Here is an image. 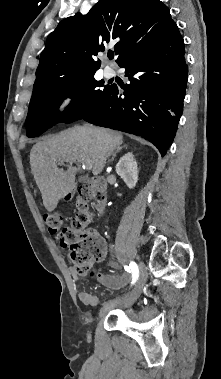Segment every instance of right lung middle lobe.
I'll return each instance as SVG.
<instances>
[{
  "instance_id": "dd1d6c3e",
  "label": "right lung middle lobe",
  "mask_w": 221,
  "mask_h": 379,
  "mask_svg": "<svg viewBox=\"0 0 221 379\" xmlns=\"http://www.w3.org/2000/svg\"><path fill=\"white\" fill-rule=\"evenodd\" d=\"M94 74L56 81L34 94L26 118V135L37 137L57 122H73L95 106L110 86L96 81ZM66 97L73 100L61 114L58 108Z\"/></svg>"
}]
</instances>
